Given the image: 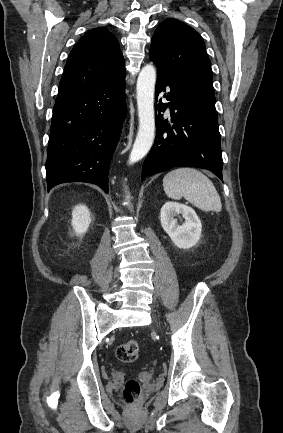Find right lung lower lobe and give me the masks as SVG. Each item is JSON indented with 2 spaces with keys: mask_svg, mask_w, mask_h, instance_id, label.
Returning a JSON list of instances; mask_svg holds the SVG:
<instances>
[{
  "mask_svg": "<svg viewBox=\"0 0 283 433\" xmlns=\"http://www.w3.org/2000/svg\"><path fill=\"white\" fill-rule=\"evenodd\" d=\"M125 77L67 96H57L48 142V191L60 183H93L108 192L110 160L120 137Z\"/></svg>",
  "mask_w": 283,
  "mask_h": 433,
  "instance_id": "obj_1",
  "label": "right lung lower lobe"
}]
</instances>
